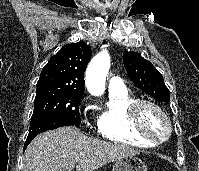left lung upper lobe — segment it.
Returning <instances> with one entry per match:
<instances>
[{
    "instance_id": "5c2ea615",
    "label": "left lung upper lobe",
    "mask_w": 199,
    "mask_h": 171,
    "mask_svg": "<svg viewBox=\"0 0 199 171\" xmlns=\"http://www.w3.org/2000/svg\"><path fill=\"white\" fill-rule=\"evenodd\" d=\"M123 63L131 81L141 90L160 102L170 101V91L164 84L162 75L139 53L125 51Z\"/></svg>"
}]
</instances>
